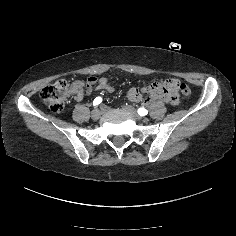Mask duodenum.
Returning <instances> with one entry per match:
<instances>
[{
	"mask_svg": "<svg viewBox=\"0 0 236 236\" xmlns=\"http://www.w3.org/2000/svg\"><path fill=\"white\" fill-rule=\"evenodd\" d=\"M174 88V85L168 82L158 85V87L154 90L153 94L145 100V104L151 105L159 100L175 104L176 99L174 94Z\"/></svg>",
	"mask_w": 236,
	"mask_h": 236,
	"instance_id": "duodenum-1",
	"label": "duodenum"
}]
</instances>
